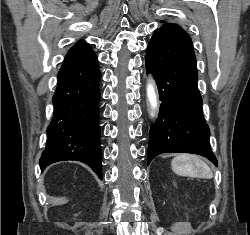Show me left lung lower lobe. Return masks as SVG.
I'll return each instance as SVG.
<instances>
[{"label":"left lung lower lobe","mask_w":250,"mask_h":235,"mask_svg":"<svg viewBox=\"0 0 250 235\" xmlns=\"http://www.w3.org/2000/svg\"><path fill=\"white\" fill-rule=\"evenodd\" d=\"M146 70L156 80L160 111L149 132L148 165L163 153H193L217 159L202 114L198 74L191 38L174 30H157L147 47Z\"/></svg>","instance_id":"0a47b994"}]
</instances>
